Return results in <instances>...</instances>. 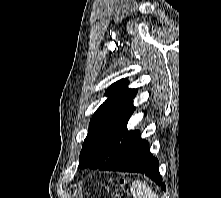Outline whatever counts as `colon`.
Listing matches in <instances>:
<instances>
[{
  "instance_id": "5ec220e1",
  "label": "colon",
  "mask_w": 221,
  "mask_h": 198,
  "mask_svg": "<svg viewBox=\"0 0 221 198\" xmlns=\"http://www.w3.org/2000/svg\"><path fill=\"white\" fill-rule=\"evenodd\" d=\"M125 186H126V181L124 179H119L118 185L115 191L116 195L119 198H129V196L124 191Z\"/></svg>"
}]
</instances>
